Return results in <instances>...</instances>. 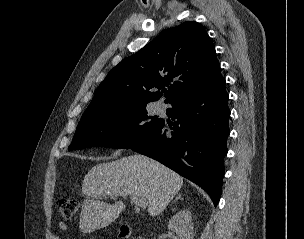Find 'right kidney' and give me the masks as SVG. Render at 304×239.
<instances>
[{"label":"right kidney","instance_id":"1","mask_svg":"<svg viewBox=\"0 0 304 239\" xmlns=\"http://www.w3.org/2000/svg\"><path fill=\"white\" fill-rule=\"evenodd\" d=\"M168 229L176 233L179 239H193L194 228L190 211L181 210L177 212L169 220Z\"/></svg>","mask_w":304,"mask_h":239}]
</instances>
